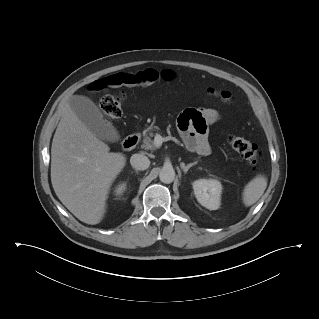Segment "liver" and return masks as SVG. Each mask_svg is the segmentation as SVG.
Segmentation results:
<instances>
[{"label": "liver", "instance_id": "6515ba94", "mask_svg": "<svg viewBox=\"0 0 319 319\" xmlns=\"http://www.w3.org/2000/svg\"><path fill=\"white\" fill-rule=\"evenodd\" d=\"M125 164L126 157L110 152L67 102L51 147V182L62 204L80 221L98 224L111 185Z\"/></svg>", "mask_w": 319, "mask_h": 319}]
</instances>
